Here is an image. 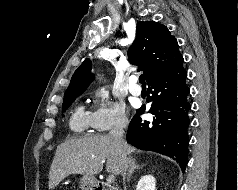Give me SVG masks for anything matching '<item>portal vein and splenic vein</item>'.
<instances>
[{"label":"portal vein and splenic vein","instance_id":"obj_1","mask_svg":"<svg viewBox=\"0 0 238 190\" xmlns=\"http://www.w3.org/2000/svg\"><path fill=\"white\" fill-rule=\"evenodd\" d=\"M114 180V175H109L107 181L111 183Z\"/></svg>","mask_w":238,"mask_h":190}]
</instances>
